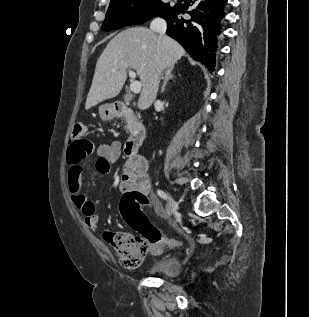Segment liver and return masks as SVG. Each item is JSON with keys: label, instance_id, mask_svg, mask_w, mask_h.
Returning <instances> with one entry per match:
<instances>
[{"label": "liver", "instance_id": "1", "mask_svg": "<svg viewBox=\"0 0 309 317\" xmlns=\"http://www.w3.org/2000/svg\"><path fill=\"white\" fill-rule=\"evenodd\" d=\"M174 39L159 36L146 27H132L117 34L99 57L85 109L116 97L126 79L127 69H134L142 91L138 108H149L156 99L161 71L173 68L184 55Z\"/></svg>", "mask_w": 309, "mask_h": 317}]
</instances>
